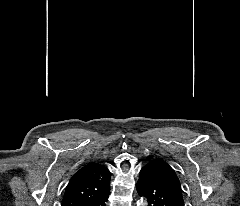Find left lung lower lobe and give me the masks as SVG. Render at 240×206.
I'll use <instances>...</instances> for the list:
<instances>
[{
    "instance_id": "0a47b994",
    "label": "left lung lower lobe",
    "mask_w": 240,
    "mask_h": 206,
    "mask_svg": "<svg viewBox=\"0 0 240 206\" xmlns=\"http://www.w3.org/2000/svg\"><path fill=\"white\" fill-rule=\"evenodd\" d=\"M140 196L147 198L149 206H184V201L170 187L155 161L145 165L137 183Z\"/></svg>"
}]
</instances>
